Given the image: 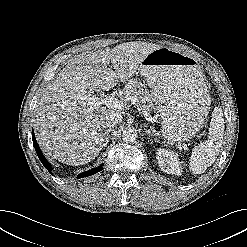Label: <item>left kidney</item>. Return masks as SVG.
Masks as SVG:
<instances>
[{
  "label": "left kidney",
  "mask_w": 247,
  "mask_h": 247,
  "mask_svg": "<svg viewBox=\"0 0 247 247\" xmlns=\"http://www.w3.org/2000/svg\"><path fill=\"white\" fill-rule=\"evenodd\" d=\"M156 154L159 167L163 172L167 174L181 175V162L176 153L166 149H158Z\"/></svg>",
  "instance_id": "1"
}]
</instances>
